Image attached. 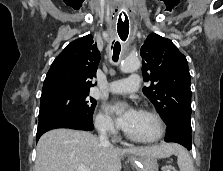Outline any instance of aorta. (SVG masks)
Segmentation results:
<instances>
[{"instance_id":"762f6f07","label":"aorta","mask_w":223,"mask_h":171,"mask_svg":"<svg viewBox=\"0 0 223 171\" xmlns=\"http://www.w3.org/2000/svg\"><path fill=\"white\" fill-rule=\"evenodd\" d=\"M141 62L137 57H127L122 61L120 65V70L123 73H131L140 68Z\"/></svg>"}]
</instances>
